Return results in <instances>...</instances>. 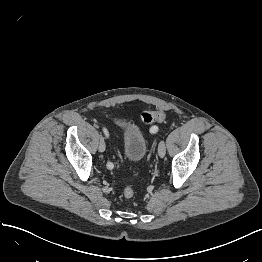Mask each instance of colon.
Listing matches in <instances>:
<instances>
[{"mask_svg": "<svg viewBox=\"0 0 262 262\" xmlns=\"http://www.w3.org/2000/svg\"><path fill=\"white\" fill-rule=\"evenodd\" d=\"M164 113L159 110H148L141 114V118L144 123L151 124L153 122L162 121L164 119ZM155 132V131H153ZM135 195L133 187L128 186L124 190V197L126 199H132Z\"/></svg>", "mask_w": 262, "mask_h": 262, "instance_id": "obj_1", "label": "colon"}]
</instances>
